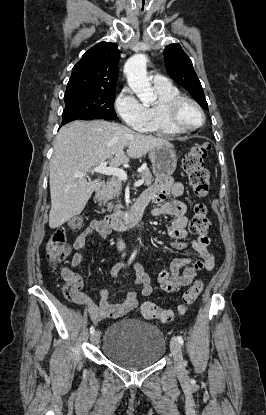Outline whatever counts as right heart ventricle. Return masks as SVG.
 <instances>
[{"instance_id": "obj_1", "label": "right heart ventricle", "mask_w": 266, "mask_h": 415, "mask_svg": "<svg viewBox=\"0 0 266 415\" xmlns=\"http://www.w3.org/2000/svg\"><path fill=\"white\" fill-rule=\"evenodd\" d=\"M154 90L157 94V100L152 105L146 107L148 117L143 130L160 136H174L181 134L182 131L173 128L166 121L162 108V105L166 100L181 94L179 89L167 82L164 84H154Z\"/></svg>"}]
</instances>
